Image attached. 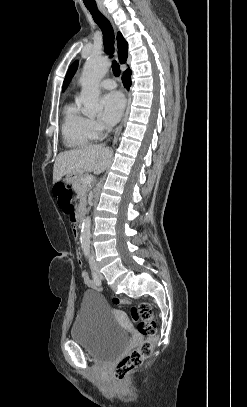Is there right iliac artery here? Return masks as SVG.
Returning a JSON list of instances; mask_svg holds the SVG:
<instances>
[{"instance_id": "82829eb1", "label": "right iliac artery", "mask_w": 247, "mask_h": 407, "mask_svg": "<svg viewBox=\"0 0 247 407\" xmlns=\"http://www.w3.org/2000/svg\"><path fill=\"white\" fill-rule=\"evenodd\" d=\"M92 278H93V282H94V284L96 285V286H101V280H100V278L98 277V275L95 273V272H93L92 271Z\"/></svg>"}]
</instances>
